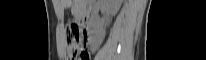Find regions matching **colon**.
<instances>
[{"label": "colon", "mask_w": 206, "mask_h": 60, "mask_svg": "<svg viewBox=\"0 0 206 60\" xmlns=\"http://www.w3.org/2000/svg\"><path fill=\"white\" fill-rule=\"evenodd\" d=\"M66 41L69 60H89L86 48V36L76 24L68 25L66 29Z\"/></svg>", "instance_id": "obj_1"}]
</instances>
